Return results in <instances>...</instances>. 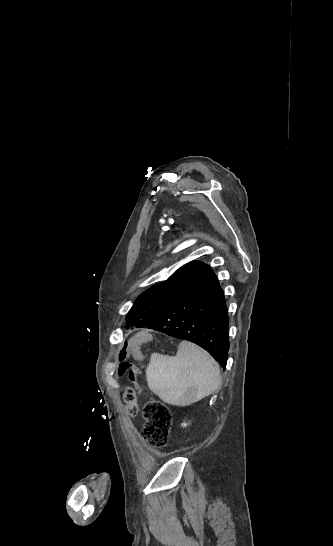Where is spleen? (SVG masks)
I'll return each mask as SVG.
<instances>
[{
    "mask_svg": "<svg viewBox=\"0 0 333 546\" xmlns=\"http://www.w3.org/2000/svg\"><path fill=\"white\" fill-rule=\"evenodd\" d=\"M146 379L153 393L176 406L197 402L221 385L215 360L187 341L179 344L176 356L153 353L146 368Z\"/></svg>",
    "mask_w": 333,
    "mask_h": 546,
    "instance_id": "3e777b00",
    "label": "spleen"
}]
</instances>
